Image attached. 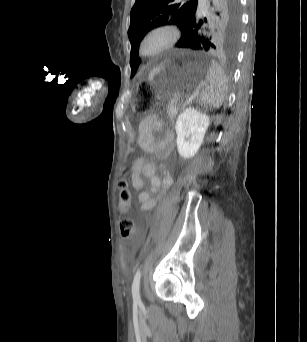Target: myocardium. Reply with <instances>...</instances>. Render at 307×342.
Masks as SVG:
<instances>
[{"label": "myocardium", "mask_w": 307, "mask_h": 342, "mask_svg": "<svg viewBox=\"0 0 307 342\" xmlns=\"http://www.w3.org/2000/svg\"><path fill=\"white\" fill-rule=\"evenodd\" d=\"M156 31H163L167 34V39L164 42V44L159 47L155 52L151 54H146L143 50V45L147 38L153 34ZM180 39V31L177 27V25L172 22V21H167V20H160L151 23L146 27L144 32L141 35V38L139 40V53L141 54L142 57L146 59H154L157 58L164 53L168 52L170 49H172L174 46L177 45Z\"/></svg>", "instance_id": "f54148a6"}]
</instances>
